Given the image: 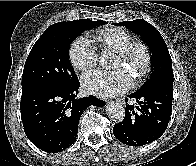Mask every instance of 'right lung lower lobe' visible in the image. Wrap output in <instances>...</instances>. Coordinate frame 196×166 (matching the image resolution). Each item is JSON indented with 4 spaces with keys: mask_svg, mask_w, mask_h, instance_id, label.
Segmentation results:
<instances>
[{
    "mask_svg": "<svg viewBox=\"0 0 196 166\" xmlns=\"http://www.w3.org/2000/svg\"><path fill=\"white\" fill-rule=\"evenodd\" d=\"M80 83L68 88L32 83L22 86L21 118L29 140L39 149L56 153L71 146L81 114L90 105L105 102L89 95L76 99Z\"/></svg>",
    "mask_w": 196,
    "mask_h": 166,
    "instance_id": "98d812e1",
    "label": "right lung lower lobe"
}]
</instances>
